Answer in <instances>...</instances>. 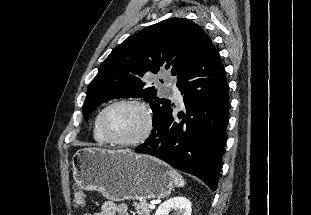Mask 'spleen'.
<instances>
[{
    "mask_svg": "<svg viewBox=\"0 0 311 215\" xmlns=\"http://www.w3.org/2000/svg\"><path fill=\"white\" fill-rule=\"evenodd\" d=\"M171 174H172L175 186L184 187L186 182H185L184 178L181 176V174L178 171H176L175 169H171Z\"/></svg>",
    "mask_w": 311,
    "mask_h": 215,
    "instance_id": "3e777b00",
    "label": "spleen"
}]
</instances>
